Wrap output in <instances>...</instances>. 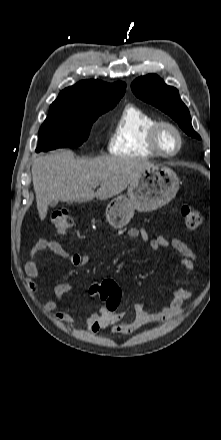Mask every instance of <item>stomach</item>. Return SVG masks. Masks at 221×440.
I'll list each match as a JSON object with an SVG mask.
<instances>
[{
  "mask_svg": "<svg viewBox=\"0 0 221 440\" xmlns=\"http://www.w3.org/2000/svg\"><path fill=\"white\" fill-rule=\"evenodd\" d=\"M180 180L167 166L156 165L143 172L133 181L127 195H119L106 208V219L114 228L124 227L134 215V211H153L171 201Z\"/></svg>",
  "mask_w": 221,
  "mask_h": 440,
  "instance_id": "1",
  "label": "stomach"
}]
</instances>
